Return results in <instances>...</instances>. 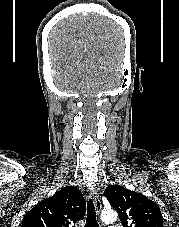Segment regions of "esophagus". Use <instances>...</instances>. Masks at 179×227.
Listing matches in <instances>:
<instances>
[{
	"instance_id": "1",
	"label": "esophagus",
	"mask_w": 179,
	"mask_h": 227,
	"mask_svg": "<svg viewBox=\"0 0 179 227\" xmlns=\"http://www.w3.org/2000/svg\"><path fill=\"white\" fill-rule=\"evenodd\" d=\"M92 196H93L96 212H97V214H100L101 209H102V204H101V201H100V198H99V195H98L96 189L93 190Z\"/></svg>"
}]
</instances>
